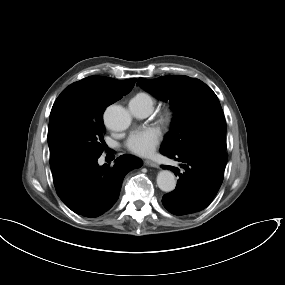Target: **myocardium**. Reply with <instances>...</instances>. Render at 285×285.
Here are the masks:
<instances>
[{"mask_svg":"<svg viewBox=\"0 0 285 285\" xmlns=\"http://www.w3.org/2000/svg\"><path fill=\"white\" fill-rule=\"evenodd\" d=\"M167 118H168V119L170 118V114L167 115Z\"/></svg>","mask_w":285,"mask_h":285,"instance_id":"1","label":"myocardium"}]
</instances>
